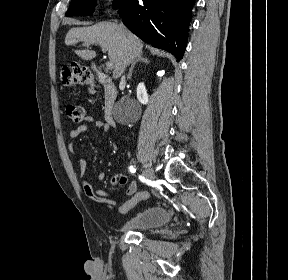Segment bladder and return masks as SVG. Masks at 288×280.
I'll list each match as a JSON object with an SVG mask.
<instances>
[{"mask_svg": "<svg viewBox=\"0 0 288 280\" xmlns=\"http://www.w3.org/2000/svg\"><path fill=\"white\" fill-rule=\"evenodd\" d=\"M171 218L168 209L161 206L149 207L128 219L122 228L128 231L154 229L167 224Z\"/></svg>", "mask_w": 288, "mask_h": 280, "instance_id": "31cf9c89", "label": "bladder"}]
</instances>
